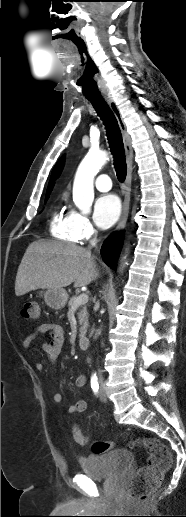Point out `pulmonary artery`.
Wrapping results in <instances>:
<instances>
[{"mask_svg":"<svg viewBox=\"0 0 186 517\" xmlns=\"http://www.w3.org/2000/svg\"><path fill=\"white\" fill-rule=\"evenodd\" d=\"M95 187L102 192L109 191L112 187L111 180L108 175L101 174L95 179Z\"/></svg>","mask_w":186,"mask_h":517,"instance_id":"1","label":"pulmonary artery"}]
</instances>
